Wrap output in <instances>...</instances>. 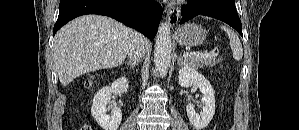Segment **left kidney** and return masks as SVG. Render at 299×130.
Returning a JSON list of instances; mask_svg holds the SVG:
<instances>
[{
  "label": "left kidney",
  "mask_w": 299,
  "mask_h": 130,
  "mask_svg": "<svg viewBox=\"0 0 299 130\" xmlns=\"http://www.w3.org/2000/svg\"><path fill=\"white\" fill-rule=\"evenodd\" d=\"M179 84L184 88L195 85L203 94V112L200 115L197 114L192 104L186 106V111L193 127L196 130L204 129L215 114V96L212 85L202 74L187 65L179 70Z\"/></svg>",
  "instance_id": "left-kidney-1"
}]
</instances>
